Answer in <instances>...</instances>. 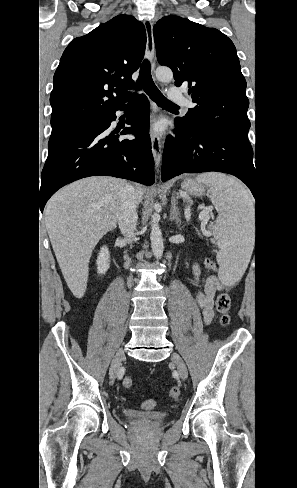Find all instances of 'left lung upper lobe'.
<instances>
[{
    "mask_svg": "<svg viewBox=\"0 0 297 488\" xmlns=\"http://www.w3.org/2000/svg\"><path fill=\"white\" fill-rule=\"evenodd\" d=\"M153 35L158 62L172 69L175 85H186L196 104L177 118L181 124L249 142L246 81L233 42L217 29L178 16L159 20Z\"/></svg>",
    "mask_w": 297,
    "mask_h": 488,
    "instance_id": "5c2ea615",
    "label": "left lung upper lobe"
}]
</instances>
